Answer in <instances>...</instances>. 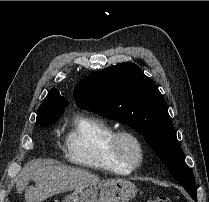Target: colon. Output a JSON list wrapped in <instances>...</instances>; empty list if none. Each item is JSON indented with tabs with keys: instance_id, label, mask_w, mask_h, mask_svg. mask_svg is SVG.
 I'll return each instance as SVG.
<instances>
[{
	"instance_id": "5ec220e1",
	"label": "colon",
	"mask_w": 209,
	"mask_h": 202,
	"mask_svg": "<svg viewBox=\"0 0 209 202\" xmlns=\"http://www.w3.org/2000/svg\"><path fill=\"white\" fill-rule=\"evenodd\" d=\"M146 202H171L168 197L160 196L147 200Z\"/></svg>"
}]
</instances>
